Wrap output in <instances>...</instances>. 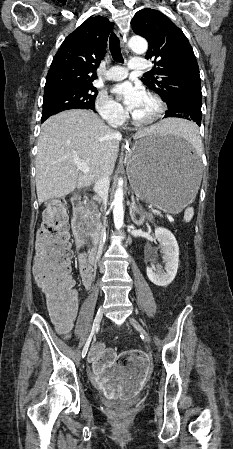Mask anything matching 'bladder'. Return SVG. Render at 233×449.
<instances>
[{"label":"bladder","mask_w":233,"mask_h":449,"mask_svg":"<svg viewBox=\"0 0 233 449\" xmlns=\"http://www.w3.org/2000/svg\"><path fill=\"white\" fill-rule=\"evenodd\" d=\"M135 399H123V400H114L112 401V406L115 408H128L135 403Z\"/></svg>","instance_id":"31cf9c89"}]
</instances>
